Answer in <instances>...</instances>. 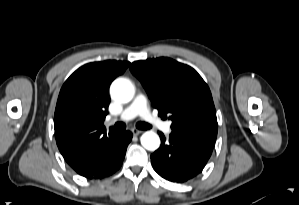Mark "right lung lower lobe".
Here are the masks:
<instances>
[{"instance_id": "obj_1", "label": "right lung lower lobe", "mask_w": 299, "mask_h": 205, "mask_svg": "<svg viewBox=\"0 0 299 205\" xmlns=\"http://www.w3.org/2000/svg\"><path fill=\"white\" fill-rule=\"evenodd\" d=\"M132 133L126 131L90 153L75 169L88 179H102L115 173L122 165Z\"/></svg>"}]
</instances>
